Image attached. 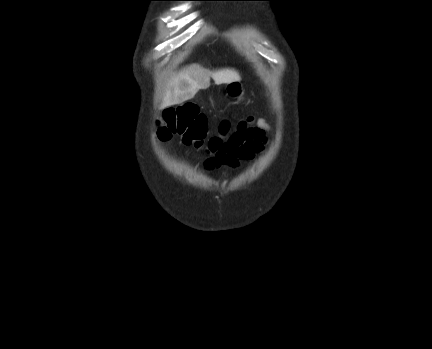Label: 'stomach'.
<instances>
[{"mask_svg":"<svg viewBox=\"0 0 432 349\" xmlns=\"http://www.w3.org/2000/svg\"><path fill=\"white\" fill-rule=\"evenodd\" d=\"M226 94L232 99H239L243 93V86L240 81L227 83L225 86Z\"/></svg>","mask_w":432,"mask_h":349,"instance_id":"obj_1","label":"stomach"}]
</instances>
